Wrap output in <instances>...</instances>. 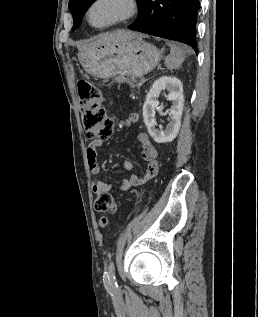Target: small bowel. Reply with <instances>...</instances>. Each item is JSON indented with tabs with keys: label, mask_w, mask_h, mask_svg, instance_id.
<instances>
[{
	"label": "small bowel",
	"mask_w": 258,
	"mask_h": 317,
	"mask_svg": "<svg viewBox=\"0 0 258 317\" xmlns=\"http://www.w3.org/2000/svg\"><path fill=\"white\" fill-rule=\"evenodd\" d=\"M139 120V115L137 113H131L125 120V125L130 126L137 123ZM137 140L142 146V156L143 159L148 163L147 172L144 178H138L132 176L128 179H123L119 185L118 189L120 191H127L133 186H137L145 183L147 180L155 177L158 173V150L155 144L150 140L147 134L139 133L137 135ZM102 145V140L95 139L89 143L86 155L89 164L90 173L93 175L91 181V188L95 194L99 193H109L112 190V184L108 182L101 181L97 178L100 172V165L98 163V148ZM134 164L131 160H125L123 162V168L126 172H131L133 170Z\"/></svg>",
	"instance_id": "obj_1"
}]
</instances>
